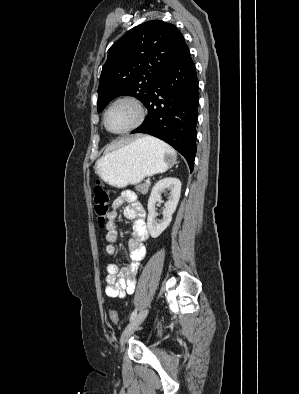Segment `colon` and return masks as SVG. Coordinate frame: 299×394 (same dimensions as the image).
<instances>
[{"instance_id": "colon-1", "label": "colon", "mask_w": 299, "mask_h": 394, "mask_svg": "<svg viewBox=\"0 0 299 394\" xmlns=\"http://www.w3.org/2000/svg\"><path fill=\"white\" fill-rule=\"evenodd\" d=\"M109 193L97 182L93 189V203L97 221L100 225L104 224L109 213ZM110 319L114 324L118 323V313L116 310L110 312Z\"/></svg>"}]
</instances>
